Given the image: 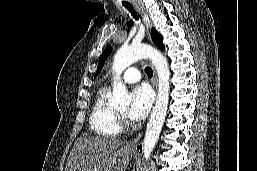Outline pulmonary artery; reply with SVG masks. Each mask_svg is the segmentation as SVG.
<instances>
[{
    "instance_id": "1",
    "label": "pulmonary artery",
    "mask_w": 257,
    "mask_h": 171,
    "mask_svg": "<svg viewBox=\"0 0 257 171\" xmlns=\"http://www.w3.org/2000/svg\"><path fill=\"white\" fill-rule=\"evenodd\" d=\"M140 79V71L135 67L128 68L122 75V80L125 83H137Z\"/></svg>"
}]
</instances>
